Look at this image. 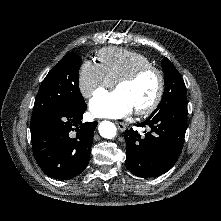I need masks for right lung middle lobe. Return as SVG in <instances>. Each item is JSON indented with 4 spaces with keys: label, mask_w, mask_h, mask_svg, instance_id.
<instances>
[{
    "label": "right lung middle lobe",
    "mask_w": 221,
    "mask_h": 221,
    "mask_svg": "<svg viewBox=\"0 0 221 221\" xmlns=\"http://www.w3.org/2000/svg\"><path fill=\"white\" fill-rule=\"evenodd\" d=\"M81 62L79 55L67 53L47 74L35 98L30 128L51 113L84 106L78 80Z\"/></svg>",
    "instance_id": "dd1d6c3e"
}]
</instances>
